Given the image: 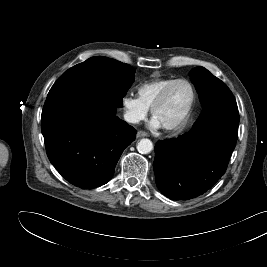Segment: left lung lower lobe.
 I'll list each match as a JSON object with an SVG mask.
<instances>
[{
    "mask_svg": "<svg viewBox=\"0 0 267 267\" xmlns=\"http://www.w3.org/2000/svg\"><path fill=\"white\" fill-rule=\"evenodd\" d=\"M239 120L218 115L155 145L156 184L172 200L195 198L225 173L238 136Z\"/></svg>",
    "mask_w": 267,
    "mask_h": 267,
    "instance_id": "left-lung-lower-lobe-1",
    "label": "left lung lower lobe"
}]
</instances>
